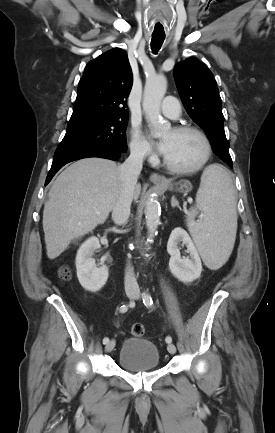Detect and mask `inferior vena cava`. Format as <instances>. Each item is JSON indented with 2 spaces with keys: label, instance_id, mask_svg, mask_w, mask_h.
Here are the masks:
<instances>
[{
  "label": "inferior vena cava",
  "instance_id": "602c4592",
  "mask_svg": "<svg viewBox=\"0 0 275 433\" xmlns=\"http://www.w3.org/2000/svg\"><path fill=\"white\" fill-rule=\"evenodd\" d=\"M143 159L144 151L132 149L130 156L119 167L122 188L112 209V219L117 225L125 224L129 218L134 189L142 170ZM124 285L126 292L139 291L134 272L130 266L127 267L125 272Z\"/></svg>",
  "mask_w": 275,
  "mask_h": 433
}]
</instances>
